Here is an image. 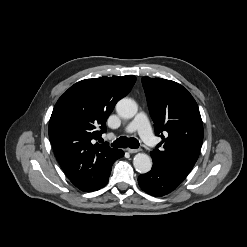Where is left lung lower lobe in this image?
Here are the masks:
<instances>
[{"instance_id":"1","label":"left lung lower lobe","mask_w":247,"mask_h":247,"mask_svg":"<svg viewBox=\"0 0 247 247\" xmlns=\"http://www.w3.org/2000/svg\"><path fill=\"white\" fill-rule=\"evenodd\" d=\"M184 179L168 168L153 163L151 171L138 177V183L146 193L161 197L174 190Z\"/></svg>"}]
</instances>
